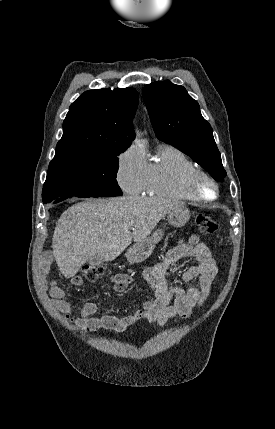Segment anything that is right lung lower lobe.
Returning a JSON list of instances; mask_svg holds the SVG:
<instances>
[{
  "mask_svg": "<svg viewBox=\"0 0 275 429\" xmlns=\"http://www.w3.org/2000/svg\"><path fill=\"white\" fill-rule=\"evenodd\" d=\"M66 198H69V197H60V198L54 200V203L60 202V201H62L64 199H66Z\"/></svg>",
  "mask_w": 275,
  "mask_h": 429,
  "instance_id": "98d812e1",
  "label": "right lung lower lobe"
}]
</instances>
